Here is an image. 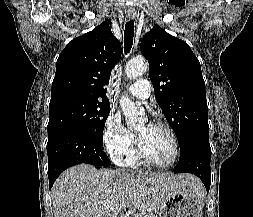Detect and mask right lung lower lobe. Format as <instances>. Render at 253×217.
<instances>
[{"label": "right lung lower lobe", "instance_id": "1", "mask_svg": "<svg viewBox=\"0 0 253 217\" xmlns=\"http://www.w3.org/2000/svg\"><path fill=\"white\" fill-rule=\"evenodd\" d=\"M103 141L78 130H60L48 135V178L50 188L68 167L88 163L98 166L111 164L103 151Z\"/></svg>", "mask_w": 253, "mask_h": 217}]
</instances>
